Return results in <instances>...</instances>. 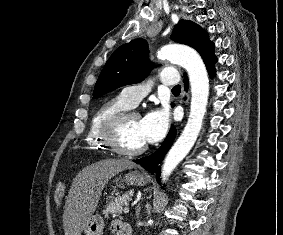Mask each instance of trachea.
Returning a JSON list of instances; mask_svg holds the SVG:
<instances>
[{"label": "trachea", "instance_id": "3493384b", "mask_svg": "<svg viewBox=\"0 0 283 235\" xmlns=\"http://www.w3.org/2000/svg\"><path fill=\"white\" fill-rule=\"evenodd\" d=\"M172 91H173V92H178V93H180V91H181V86H180V85L174 86V87L172 88Z\"/></svg>", "mask_w": 283, "mask_h": 235}]
</instances>
